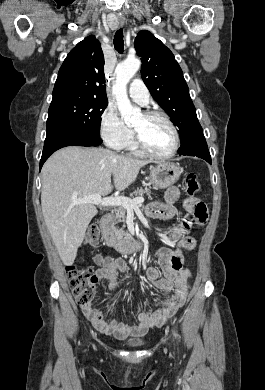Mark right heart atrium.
I'll return each instance as SVG.
<instances>
[{
    "label": "right heart atrium",
    "instance_id": "obj_1",
    "mask_svg": "<svg viewBox=\"0 0 265 390\" xmlns=\"http://www.w3.org/2000/svg\"><path fill=\"white\" fill-rule=\"evenodd\" d=\"M99 130L106 145L115 150L123 149L133 135L113 106H107L102 112Z\"/></svg>",
    "mask_w": 265,
    "mask_h": 390
}]
</instances>
